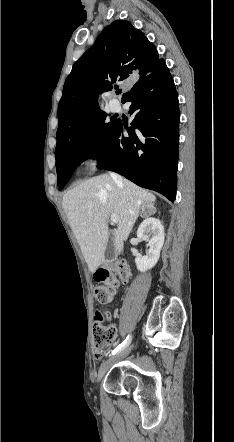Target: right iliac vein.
Listing matches in <instances>:
<instances>
[{"label": "right iliac vein", "instance_id": "right-iliac-vein-1", "mask_svg": "<svg viewBox=\"0 0 234 442\" xmlns=\"http://www.w3.org/2000/svg\"><path fill=\"white\" fill-rule=\"evenodd\" d=\"M131 346L130 347H126L125 349H123L121 352H119L118 354H116L115 356L111 357L110 359H108L106 362H104L98 372V376H97V380L100 381L103 376L106 374V372L109 370V368L117 361L123 359L124 357H126L130 351H131Z\"/></svg>", "mask_w": 234, "mask_h": 442}]
</instances>
